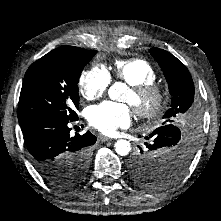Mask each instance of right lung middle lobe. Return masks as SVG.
Returning a JSON list of instances; mask_svg holds the SVG:
<instances>
[{"mask_svg":"<svg viewBox=\"0 0 221 221\" xmlns=\"http://www.w3.org/2000/svg\"><path fill=\"white\" fill-rule=\"evenodd\" d=\"M85 50L77 55H45L27 70L18 106V120L40 114L75 118L79 107L77 83L85 65L96 54ZM90 147L67 155L59 165L47 167L42 176L60 187L77 184L85 177Z\"/></svg>","mask_w":221,"mask_h":221,"instance_id":"dd1d6c3e","label":"right lung middle lobe"}]
</instances>
